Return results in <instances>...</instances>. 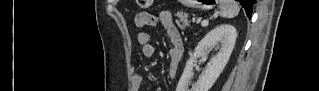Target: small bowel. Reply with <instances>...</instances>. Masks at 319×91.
<instances>
[{
    "instance_id": "obj_1",
    "label": "small bowel",
    "mask_w": 319,
    "mask_h": 91,
    "mask_svg": "<svg viewBox=\"0 0 319 91\" xmlns=\"http://www.w3.org/2000/svg\"><path fill=\"white\" fill-rule=\"evenodd\" d=\"M157 23L161 24L171 43L168 53V75L171 79H174L178 72L184 47L181 34L173 22L172 14L169 11H161L155 18L149 13H140L136 18V24L140 27L155 26ZM137 42L144 57L151 58L154 55L155 46L150 42L147 33L140 32L137 36ZM132 83L135 91L142 90L144 84L143 75L135 70L132 75Z\"/></svg>"
}]
</instances>
